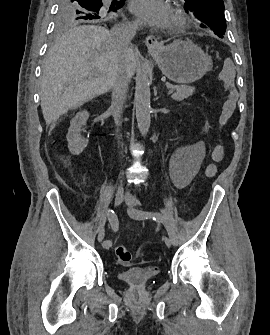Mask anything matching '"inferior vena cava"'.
Wrapping results in <instances>:
<instances>
[{
  "label": "inferior vena cava",
  "instance_id": "1",
  "mask_svg": "<svg viewBox=\"0 0 270 335\" xmlns=\"http://www.w3.org/2000/svg\"><path fill=\"white\" fill-rule=\"evenodd\" d=\"M136 30H138L137 24H120V26L112 28V36L118 46H126L128 48L136 34ZM111 82L112 106H115V108L120 106L122 108L126 100L130 78L125 70H116L115 74H112Z\"/></svg>",
  "mask_w": 270,
  "mask_h": 335
}]
</instances>
